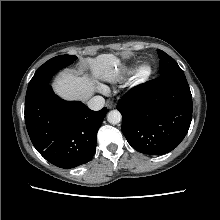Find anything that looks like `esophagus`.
Here are the masks:
<instances>
[{"mask_svg": "<svg viewBox=\"0 0 220 220\" xmlns=\"http://www.w3.org/2000/svg\"><path fill=\"white\" fill-rule=\"evenodd\" d=\"M106 106L111 109L114 107V104L111 101H107Z\"/></svg>", "mask_w": 220, "mask_h": 220, "instance_id": "esophagus-1", "label": "esophagus"}]
</instances>
